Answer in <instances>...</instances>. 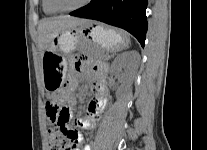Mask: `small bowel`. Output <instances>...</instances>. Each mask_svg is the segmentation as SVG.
I'll return each mask as SVG.
<instances>
[{
    "label": "small bowel",
    "mask_w": 207,
    "mask_h": 150,
    "mask_svg": "<svg viewBox=\"0 0 207 150\" xmlns=\"http://www.w3.org/2000/svg\"><path fill=\"white\" fill-rule=\"evenodd\" d=\"M91 70L95 74V79L93 81V90L96 93V98L93 99L88 105L87 115L77 119V126L83 129H92L98 119V116L104 109L107 101L108 88L104 83V66L97 62H90ZM79 71V69H78ZM77 85V80L75 77H70L69 86L73 89ZM60 100L67 101L70 105H73L75 100L69 94H64L60 97ZM67 107V106H66ZM70 112V107H67ZM81 140V136L78 133V143ZM78 150V149H77ZM82 150H92V145H82Z\"/></svg>",
    "instance_id": "1"
}]
</instances>
